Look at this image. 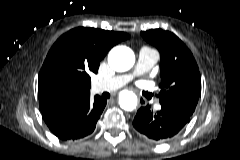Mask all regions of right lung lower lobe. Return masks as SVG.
I'll return each mask as SVG.
<instances>
[{"label":"right lung lower lobe","instance_id":"1","mask_svg":"<svg viewBox=\"0 0 240 160\" xmlns=\"http://www.w3.org/2000/svg\"><path fill=\"white\" fill-rule=\"evenodd\" d=\"M107 100L90 94L73 102L57 105L42 112V117L52 133L63 141L77 140L91 134Z\"/></svg>","mask_w":240,"mask_h":160}]
</instances>
